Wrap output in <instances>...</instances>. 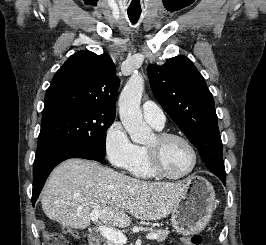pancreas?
I'll return each instance as SVG.
<instances>
[{
	"label": "pancreas",
	"mask_w": 266,
	"mask_h": 245,
	"mask_svg": "<svg viewBox=\"0 0 266 245\" xmlns=\"http://www.w3.org/2000/svg\"><path fill=\"white\" fill-rule=\"evenodd\" d=\"M150 233H156L157 237L155 241H157V243H163V241L167 239L170 231H163V229H152Z\"/></svg>",
	"instance_id": "pancreas-1"
}]
</instances>
